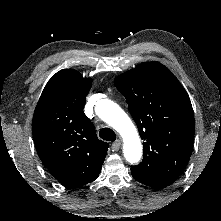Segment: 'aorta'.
Segmentation results:
<instances>
[{
    "label": "aorta",
    "instance_id": "aorta-1",
    "mask_svg": "<svg viewBox=\"0 0 221 221\" xmlns=\"http://www.w3.org/2000/svg\"><path fill=\"white\" fill-rule=\"evenodd\" d=\"M96 114L123 138V153L126 160L133 164L142 156V146L138 132L128 115L115 102L102 99L95 107Z\"/></svg>",
    "mask_w": 221,
    "mask_h": 221
}]
</instances>
